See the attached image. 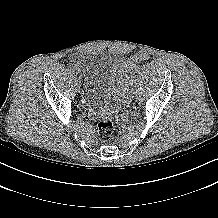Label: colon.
Wrapping results in <instances>:
<instances>
[{"label": "colon", "mask_w": 218, "mask_h": 218, "mask_svg": "<svg viewBox=\"0 0 218 218\" xmlns=\"http://www.w3.org/2000/svg\"><path fill=\"white\" fill-rule=\"evenodd\" d=\"M114 133V124L112 120L108 117H103L99 120L97 124V135L98 138L106 142L110 140Z\"/></svg>", "instance_id": "1"}]
</instances>
